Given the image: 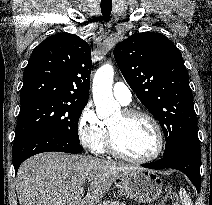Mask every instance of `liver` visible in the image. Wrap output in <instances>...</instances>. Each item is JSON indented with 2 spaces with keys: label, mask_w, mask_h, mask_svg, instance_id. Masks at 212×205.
I'll return each mask as SVG.
<instances>
[{
  "label": "liver",
  "mask_w": 212,
  "mask_h": 205,
  "mask_svg": "<svg viewBox=\"0 0 212 205\" xmlns=\"http://www.w3.org/2000/svg\"><path fill=\"white\" fill-rule=\"evenodd\" d=\"M134 166L83 155L45 152L26 160L16 176L20 205H96L111 185ZM88 181L87 194L78 190Z\"/></svg>",
  "instance_id": "liver-1"
}]
</instances>
